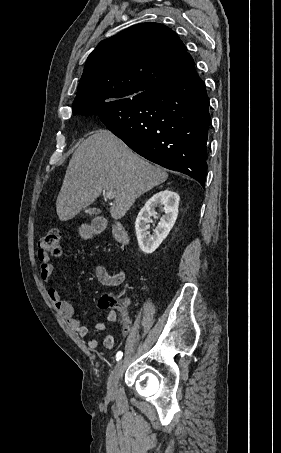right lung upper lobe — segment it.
<instances>
[{
    "label": "right lung upper lobe",
    "instance_id": "1",
    "mask_svg": "<svg viewBox=\"0 0 281 453\" xmlns=\"http://www.w3.org/2000/svg\"><path fill=\"white\" fill-rule=\"evenodd\" d=\"M194 68L177 34L159 23L132 26L99 43L89 55L73 102V114L129 101Z\"/></svg>",
    "mask_w": 281,
    "mask_h": 453
}]
</instances>
